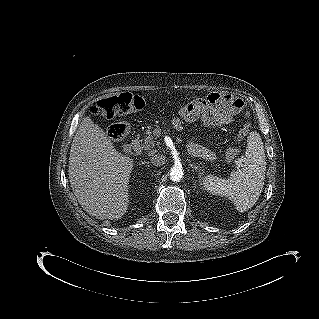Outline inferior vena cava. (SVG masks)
Instances as JSON below:
<instances>
[{
  "mask_svg": "<svg viewBox=\"0 0 319 319\" xmlns=\"http://www.w3.org/2000/svg\"><path fill=\"white\" fill-rule=\"evenodd\" d=\"M167 159L163 154L160 153H152L151 155V163L155 166H162L166 163Z\"/></svg>",
  "mask_w": 319,
  "mask_h": 319,
  "instance_id": "obj_1",
  "label": "inferior vena cava"
}]
</instances>
